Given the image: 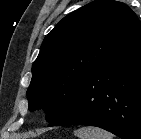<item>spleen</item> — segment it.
Returning a JSON list of instances; mask_svg holds the SVG:
<instances>
[{
	"instance_id": "3e777b00",
	"label": "spleen",
	"mask_w": 141,
	"mask_h": 139,
	"mask_svg": "<svg viewBox=\"0 0 141 139\" xmlns=\"http://www.w3.org/2000/svg\"><path fill=\"white\" fill-rule=\"evenodd\" d=\"M74 134L79 139H113V135L100 128L88 126L75 130Z\"/></svg>"
}]
</instances>
